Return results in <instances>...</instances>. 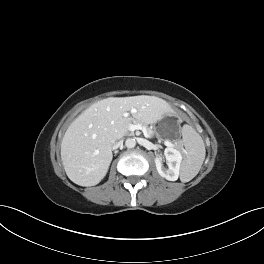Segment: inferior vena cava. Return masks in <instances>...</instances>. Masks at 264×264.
<instances>
[{
	"mask_svg": "<svg viewBox=\"0 0 264 264\" xmlns=\"http://www.w3.org/2000/svg\"><path fill=\"white\" fill-rule=\"evenodd\" d=\"M123 145V141L121 140V138L117 139L114 144H113V149H117L119 147H121Z\"/></svg>",
	"mask_w": 264,
	"mask_h": 264,
	"instance_id": "602c4592",
	"label": "inferior vena cava"
}]
</instances>
